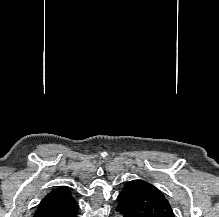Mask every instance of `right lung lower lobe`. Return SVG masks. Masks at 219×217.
I'll return each instance as SVG.
<instances>
[{"mask_svg":"<svg viewBox=\"0 0 219 217\" xmlns=\"http://www.w3.org/2000/svg\"><path fill=\"white\" fill-rule=\"evenodd\" d=\"M76 211L71 212L70 214H68L66 217H76Z\"/></svg>","mask_w":219,"mask_h":217,"instance_id":"1","label":"right lung lower lobe"}]
</instances>
